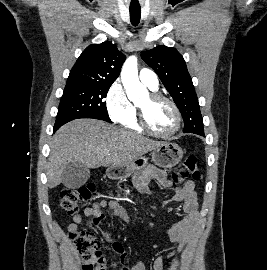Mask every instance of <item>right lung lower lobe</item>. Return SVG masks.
Instances as JSON below:
<instances>
[{"label": "right lung lower lobe", "mask_w": 267, "mask_h": 270, "mask_svg": "<svg viewBox=\"0 0 267 270\" xmlns=\"http://www.w3.org/2000/svg\"><path fill=\"white\" fill-rule=\"evenodd\" d=\"M63 124H55L54 132L57 131Z\"/></svg>", "instance_id": "obj_1"}]
</instances>
